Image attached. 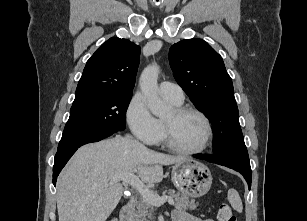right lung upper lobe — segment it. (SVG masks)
<instances>
[{"label":"right lung upper lobe","mask_w":307,"mask_h":221,"mask_svg":"<svg viewBox=\"0 0 307 221\" xmlns=\"http://www.w3.org/2000/svg\"><path fill=\"white\" fill-rule=\"evenodd\" d=\"M139 60L140 46L110 38L87 61L74 102L109 93H132Z\"/></svg>","instance_id":"cb5924a9"}]
</instances>
